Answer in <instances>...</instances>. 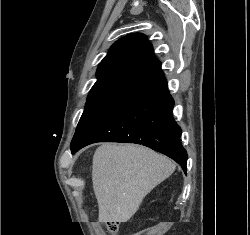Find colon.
Wrapping results in <instances>:
<instances>
[{
  "label": "colon",
  "instance_id": "obj_1",
  "mask_svg": "<svg viewBox=\"0 0 250 235\" xmlns=\"http://www.w3.org/2000/svg\"><path fill=\"white\" fill-rule=\"evenodd\" d=\"M103 225L110 235H117L118 224L116 222H104Z\"/></svg>",
  "mask_w": 250,
  "mask_h": 235
}]
</instances>
